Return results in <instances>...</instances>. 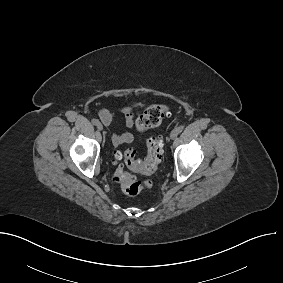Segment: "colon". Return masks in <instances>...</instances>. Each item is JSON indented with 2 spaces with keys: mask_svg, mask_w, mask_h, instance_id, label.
Segmentation results:
<instances>
[{
  "mask_svg": "<svg viewBox=\"0 0 283 283\" xmlns=\"http://www.w3.org/2000/svg\"><path fill=\"white\" fill-rule=\"evenodd\" d=\"M169 115L170 109L167 105H152L138 116L135 123L136 128L139 132H143L156 127ZM146 145L147 155L144 159L137 158L135 151L131 148H127L123 152H117L115 157L117 160H123L125 167L131 172L146 176L152 175L157 171L162 160L163 142L158 137H150L147 139ZM131 172H128L123 165H119L114 173V180L120 185L125 194L135 196L142 190L151 187L152 182L150 180H138Z\"/></svg>",
  "mask_w": 283,
  "mask_h": 283,
  "instance_id": "1",
  "label": "colon"
}]
</instances>
